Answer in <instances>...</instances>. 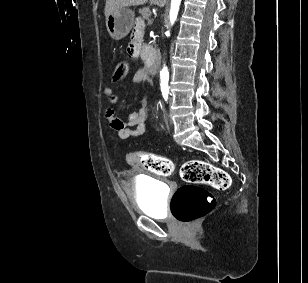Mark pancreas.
<instances>
[{"mask_svg": "<svg viewBox=\"0 0 308 283\" xmlns=\"http://www.w3.org/2000/svg\"><path fill=\"white\" fill-rule=\"evenodd\" d=\"M139 13L141 14V16H142L144 19L150 21V20H149V17H150V15H151V11H150V9H149L148 7H144V8H142V9H140V10H139Z\"/></svg>", "mask_w": 308, "mask_h": 283, "instance_id": "1", "label": "pancreas"}]
</instances>
